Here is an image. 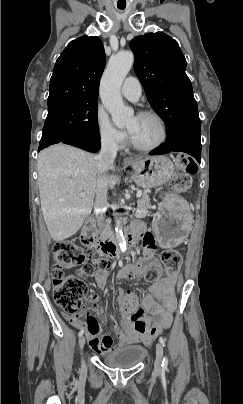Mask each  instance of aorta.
<instances>
[{"label": "aorta", "instance_id": "1", "mask_svg": "<svg viewBox=\"0 0 243 404\" xmlns=\"http://www.w3.org/2000/svg\"><path fill=\"white\" fill-rule=\"evenodd\" d=\"M134 62L133 52H118L111 56L108 66L101 78L99 94L101 102L111 114V118L117 128L125 126L126 122L133 118L134 110L123 104L120 88ZM117 217H122V212H117ZM115 238L121 252H126L127 244L122 230L121 220L115 222Z\"/></svg>", "mask_w": 243, "mask_h": 404}]
</instances>
